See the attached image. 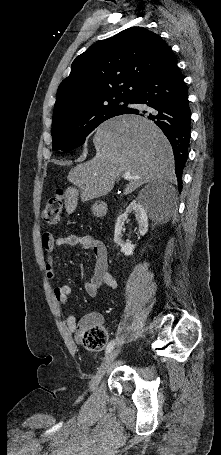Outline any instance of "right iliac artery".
Wrapping results in <instances>:
<instances>
[{
  "label": "right iliac artery",
  "mask_w": 221,
  "mask_h": 455,
  "mask_svg": "<svg viewBox=\"0 0 221 455\" xmlns=\"http://www.w3.org/2000/svg\"><path fill=\"white\" fill-rule=\"evenodd\" d=\"M114 346H115V341L112 340L106 348V353H110L114 349Z\"/></svg>",
  "instance_id": "82829eb1"
}]
</instances>
